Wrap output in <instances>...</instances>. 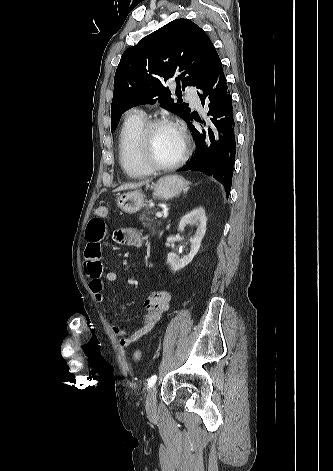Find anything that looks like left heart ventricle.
Here are the masks:
<instances>
[{"instance_id": "left-heart-ventricle-1", "label": "left heart ventricle", "mask_w": 333, "mask_h": 471, "mask_svg": "<svg viewBox=\"0 0 333 471\" xmlns=\"http://www.w3.org/2000/svg\"><path fill=\"white\" fill-rule=\"evenodd\" d=\"M182 140L171 126H160L152 134L151 150L153 158L162 164L171 163L180 154Z\"/></svg>"}]
</instances>
